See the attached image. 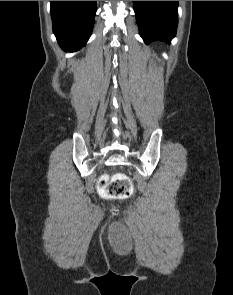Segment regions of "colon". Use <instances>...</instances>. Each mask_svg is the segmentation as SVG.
<instances>
[{"label": "colon", "mask_w": 233, "mask_h": 295, "mask_svg": "<svg viewBox=\"0 0 233 295\" xmlns=\"http://www.w3.org/2000/svg\"><path fill=\"white\" fill-rule=\"evenodd\" d=\"M98 187L102 195L114 199H126L133 193L131 180L123 174H117L110 180L106 176L100 177Z\"/></svg>", "instance_id": "colon-1"}]
</instances>
